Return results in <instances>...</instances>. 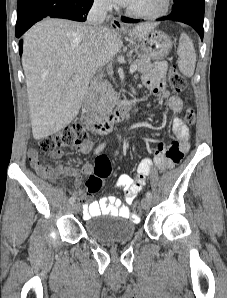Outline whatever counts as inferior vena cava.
Instances as JSON below:
<instances>
[{"label": "inferior vena cava", "mask_w": 227, "mask_h": 298, "mask_svg": "<svg viewBox=\"0 0 227 298\" xmlns=\"http://www.w3.org/2000/svg\"><path fill=\"white\" fill-rule=\"evenodd\" d=\"M111 8L109 0H94L88 13L87 23L84 25V32L91 38H95L98 31L102 28L108 10Z\"/></svg>", "instance_id": "inferior-vena-cava-1"}]
</instances>
